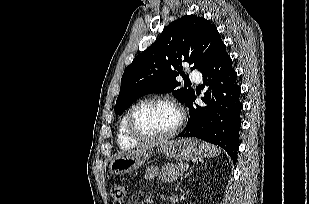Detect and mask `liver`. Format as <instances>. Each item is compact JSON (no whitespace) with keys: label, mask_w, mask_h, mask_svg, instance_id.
<instances>
[{"label":"liver","mask_w":309,"mask_h":204,"mask_svg":"<svg viewBox=\"0 0 309 204\" xmlns=\"http://www.w3.org/2000/svg\"><path fill=\"white\" fill-rule=\"evenodd\" d=\"M163 141H158V142H153V143H150L149 145H146L145 147H142L141 149L137 150V151H140V150H144V149H152L154 146H158L162 143ZM135 152V151H133Z\"/></svg>","instance_id":"6515ba94"}]
</instances>
